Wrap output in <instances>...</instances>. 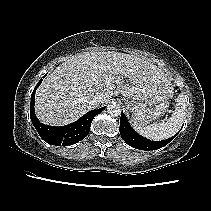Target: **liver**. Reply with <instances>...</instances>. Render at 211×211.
<instances>
[{"instance_id":"liver-1","label":"liver","mask_w":211,"mask_h":211,"mask_svg":"<svg viewBox=\"0 0 211 211\" xmlns=\"http://www.w3.org/2000/svg\"><path fill=\"white\" fill-rule=\"evenodd\" d=\"M170 82L145 58L119 52H92L68 59L50 72L37 90L35 112L47 125L62 126L84 115L89 101L101 95L106 103L121 93L145 98Z\"/></svg>"}]
</instances>
